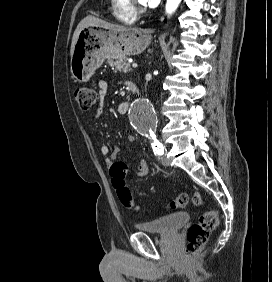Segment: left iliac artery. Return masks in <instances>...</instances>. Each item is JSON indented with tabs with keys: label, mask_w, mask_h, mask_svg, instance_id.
<instances>
[{
	"label": "left iliac artery",
	"mask_w": 272,
	"mask_h": 282,
	"mask_svg": "<svg viewBox=\"0 0 272 282\" xmlns=\"http://www.w3.org/2000/svg\"><path fill=\"white\" fill-rule=\"evenodd\" d=\"M152 148L154 152L157 153L158 155L162 156L164 154V147L162 143H160L158 140H154V143L152 144Z\"/></svg>",
	"instance_id": "1"
}]
</instances>
